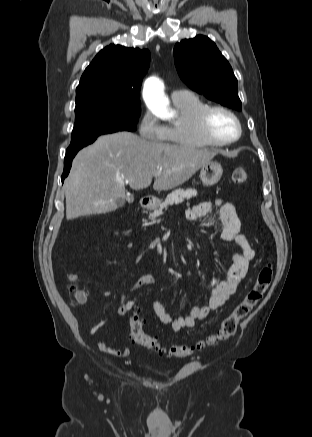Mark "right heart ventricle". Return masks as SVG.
<instances>
[{"label":"right heart ventricle","instance_id":"right-heart-ventricle-1","mask_svg":"<svg viewBox=\"0 0 312 437\" xmlns=\"http://www.w3.org/2000/svg\"><path fill=\"white\" fill-rule=\"evenodd\" d=\"M178 111L177 118L165 126L164 141L168 144L186 148L206 147L210 144L204 141L196 129L197 114L208 105L199 97L187 92V95L173 101Z\"/></svg>","mask_w":312,"mask_h":437}]
</instances>
